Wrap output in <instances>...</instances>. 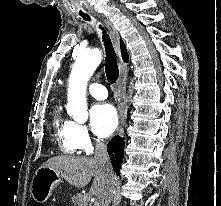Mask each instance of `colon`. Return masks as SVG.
Here are the masks:
<instances>
[{"mask_svg": "<svg viewBox=\"0 0 221 206\" xmlns=\"http://www.w3.org/2000/svg\"><path fill=\"white\" fill-rule=\"evenodd\" d=\"M33 206H44V205L37 203V204H34Z\"/></svg>", "mask_w": 221, "mask_h": 206, "instance_id": "1", "label": "colon"}]
</instances>
